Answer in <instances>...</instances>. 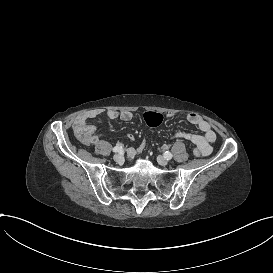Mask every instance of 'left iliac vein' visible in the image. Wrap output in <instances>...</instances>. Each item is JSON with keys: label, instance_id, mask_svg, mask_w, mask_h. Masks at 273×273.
Here are the masks:
<instances>
[{"label": "left iliac vein", "instance_id": "1", "mask_svg": "<svg viewBox=\"0 0 273 273\" xmlns=\"http://www.w3.org/2000/svg\"><path fill=\"white\" fill-rule=\"evenodd\" d=\"M157 159H158V163L162 166H166L168 163L167 159L163 156H158Z\"/></svg>", "mask_w": 273, "mask_h": 273}]
</instances>
